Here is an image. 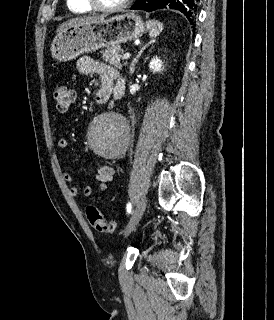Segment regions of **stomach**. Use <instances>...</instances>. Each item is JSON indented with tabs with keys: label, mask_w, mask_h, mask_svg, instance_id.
Listing matches in <instances>:
<instances>
[{
	"label": "stomach",
	"mask_w": 274,
	"mask_h": 320,
	"mask_svg": "<svg viewBox=\"0 0 274 320\" xmlns=\"http://www.w3.org/2000/svg\"><path fill=\"white\" fill-rule=\"evenodd\" d=\"M145 32L147 26L138 14H117L99 22L68 26L56 34L51 44L52 58L57 62H69L81 54L138 40Z\"/></svg>",
	"instance_id": "stomach-1"
}]
</instances>
